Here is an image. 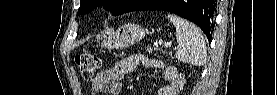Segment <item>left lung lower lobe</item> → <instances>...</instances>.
<instances>
[{"label":"left lung lower lobe","instance_id":"0a47b994","mask_svg":"<svg viewBox=\"0 0 277 95\" xmlns=\"http://www.w3.org/2000/svg\"><path fill=\"white\" fill-rule=\"evenodd\" d=\"M162 1L169 3L161 6ZM216 4V0H145L134 11L164 10L177 14L197 24L210 40Z\"/></svg>","mask_w":277,"mask_h":95}]
</instances>
